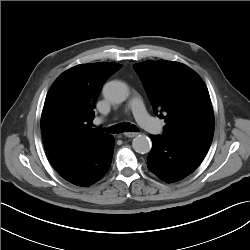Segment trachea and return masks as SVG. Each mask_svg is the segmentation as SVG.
Masks as SVG:
<instances>
[{
    "label": "trachea",
    "mask_w": 250,
    "mask_h": 250,
    "mask_svg": "<svg viewBox=\"0 0 250 250\" xmlns=\"http://www.w3.org/2000/svg\"><path fill=\"white\" fill-rule=\"evenodd\" d=\"M108 133L137 132L138 129L131 123L116 124L105 130Z\"/></svg>",
    "instance_id": "obj_1"
}]
</instances>
